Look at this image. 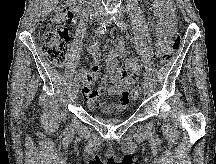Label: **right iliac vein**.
<instances>
[{
	"label": "right iliac vein",
	"mask_w": 216,
	"mask_h": 164,
	"mask_svg": "<svg viewBox=\"0 0 216 164\" xmlns=\"http://www.w3.org/2000/svg\"><path fill=\"white\" fill-rule=\"evenodd\" d=\"M97 21L99 23L104 22L103 19H98ZM72 93H73V99L77 100V98H78V84H77V82H75L74 85H73V91H72Z\"/></svg>",
	"instance_id": "1"
}]
</instances>
